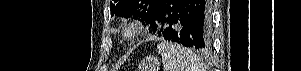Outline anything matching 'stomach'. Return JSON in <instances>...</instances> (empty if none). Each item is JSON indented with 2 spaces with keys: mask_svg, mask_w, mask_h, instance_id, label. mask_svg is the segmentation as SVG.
<instances>
[{
  "mask_svg": "<svg viewBox=\"0 0 301 71\" xmlns=\"http://www.w3.org/2000/svg\"><path fill=\"white\" fill-rule=\"evenodd\" d=\"M139 71H159L160 62L157 57L147 56L138 65Z\"/></svg>",
  "mask_w": 301,
  "mask_h": 71,
  "instance_id": "0dacf381",
  "label": "stomach"
}]
</instances>
